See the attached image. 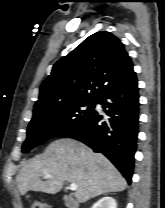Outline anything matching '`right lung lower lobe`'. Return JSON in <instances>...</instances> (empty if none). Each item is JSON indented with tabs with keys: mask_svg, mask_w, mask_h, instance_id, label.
Returning <instances> with one entry per match:
<instances>
[{
	"mask_svg": "<svg viewBox=\"0 0 165 208\" xmlns=\"http://www.w3.org/2000/svg\"><path fill=\"white\" fill-rule=\"evenodd\" d=\"M96 103L106 109V117L94 110L82 126L68 136L85 143L95 152L103 153L130 184L139 119V94L135 73L105 92ZM103 118L105 121L100 123Z\"/></svg>",
	"mask_w": 165,
	"mask_h": 208,
	"instance_id": "1",
	"label": "right lung lower lobe"
}]
</instances>
